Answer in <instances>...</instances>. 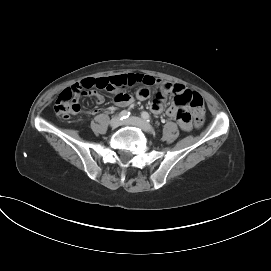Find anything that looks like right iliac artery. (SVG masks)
Instances as JSON below:
<instances>
[{
    "label": "right iliac artery",
    "instance_id": "1",
    "mask_svg": "<svg viewBox=\"0 0 271 271\" xmlns=\"http://www.w3.org/2000/svg\"><path fill=\"white\" fill-rule=\"evenodd\" d=\"M129 115H130V112L127 110H123L119 114L121 120L128 118Z\"/></svg>",
    "mask_w": 271,
    "mask_h": 271
}]
</instances>
